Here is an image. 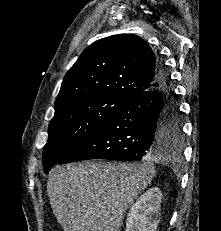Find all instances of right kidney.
<instances>
[{
  "instance_id": "obj_1",
  "label": "right kidney",
  "mask_w": 221,
  "mask_h": 231,
  "mask_svg": "<svg viewBox=\"0 0 221 231\" xmlns=\"http://www.w3.org/2000/svg\"><path fill=\"white\" fill-rule=\"evenodd\" d=\"M161 199L162 193L157 187L143 193L129 210L126 231H156Z\"/></svg>"
}]
</instances>
